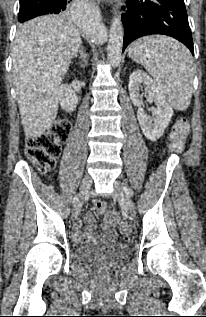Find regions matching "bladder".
Wrapping results in <instances>:
<instances>
[{
    "mask_svg": "<svg viewBox=\"0 0 206 317\" xmlns=\"http://www.w3.org/2000/svg\"><path fill=\"white\" fill-rule=\"evenodd\" d=\"M129 253L130 248L125 242L111 238H99L77 247L75 258L81 262L116 261L126 258Z\"/></svg>",
    "mask_w": 206,
    "mask_h": 317,
    "instance_id": "obj_1",
    "label": "bladder"
}]
</instances>
